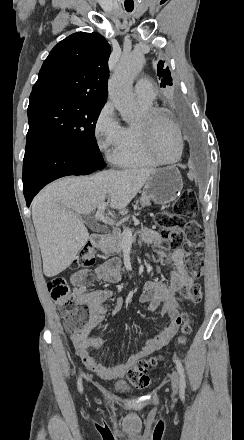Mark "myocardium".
<instances>
[{"instance_id": "obj_1", "label": "myocardium", "mask_w": 244, "mask_h": 440, "mask_svg": "<svg viewBox=\"0 0 244 440\" xmlns=\"http://www.w3.org/2000/svg\"><path fill=\"white\" fill-rule=\"evenodd\" d=\"M170 116L168 114H163V110L159 108H152L145 112L140 121L138 122V125L143 129L144 132H142V141L144 143L142 144L144 147H148V153L153 154L155 151L153 150V147L151 146L152 142L149 137H151L153 132L155 131L151 127L153 124H158L159 121H163L164 123H168L170 120L168 119ZM169 127H171L177 134L178 138V144H177V154L176 156L171 160H165L160 155L156 154L154 155L155 160L161 164V165H173L179 162L181 155H182V137L181 133L178 130V128L175 126L174 122H169Z\"/></svg>"}]
</instances>
